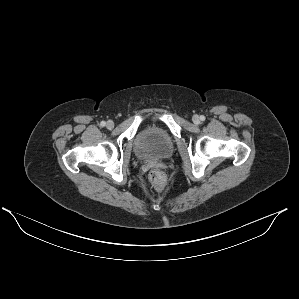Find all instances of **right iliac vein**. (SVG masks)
<instances>
[{
	"instance_id": "63e3f726",
	"label": "right iliac vein",
	"mask_w": 299,
	"mask_h": 299,
	"mask_svg": "<svg viewBox=\"0 0 299 299\" xmlns=\"http://www.w3.org/2000/svg\"><path fill=\"white\" fill-rule=\"evenodd\" d=\"M106 127H107L108 129H112V128L114 127V122L111 121V120L107 121V123H106Z\"/></svg>"
}]
</instances>
